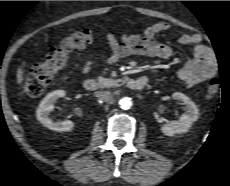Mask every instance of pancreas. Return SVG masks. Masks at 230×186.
Listing matches in <instances>:
<instances>
[{
  "instance_id": "obj_1",
  "label": "pancreas",
  "mask_w": 230,
  "mask_h": 186,
  "mask_svg": "<svg viewBox=\"0 0 230 186\" xmlns=\"http://www.w3.org/2000/svg\"><path fill=\"white\" fill-rule=\"evenodd\" d=\"M97 81L101 88L119 87L121 86V80H114L112 78L98 77Z\"/></svg>"
}]
</instances>
